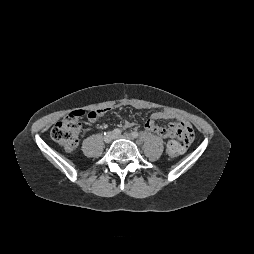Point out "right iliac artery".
Instances as JSON below:
<instances>
[{"instance_id": "1", "label": "right iliac artery", "mask_w": 254, "mask_h": 254, "mask_svg": "<svg viewBox=\"0 0 254 254\" xmlns=\"http://www.w3.org/2000/svg\"><path fill=\"white\" fill-rule=\"evenodd\" d=\"M113 133H114L115 135H120V134H121V130L118 129V128H116V129L113 130Z\"/></svg>"}]
</instances>
